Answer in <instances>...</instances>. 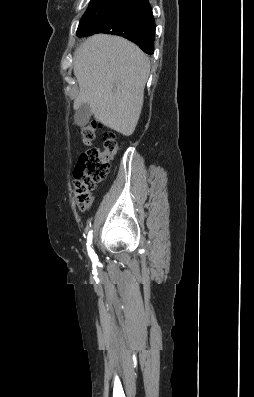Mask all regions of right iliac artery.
<instances>
[{"label": "right iliac artery", "mask_w": 254, "mask_h": 397, "mask_svg": "<svg viewBox=\"0 0 254 397\" xmlns=\"http://www.w3.org/2000/svg\"><path fill=\"white\" fill-rule=\"evenodd\" d=\"M92 238H93V233L92 230L89 231L88 236H87V250H88V255L92 259V261L97 260V256L92 248Z\"/></svg>", "instance_id": "1"}]
</instances>
